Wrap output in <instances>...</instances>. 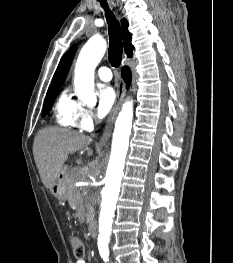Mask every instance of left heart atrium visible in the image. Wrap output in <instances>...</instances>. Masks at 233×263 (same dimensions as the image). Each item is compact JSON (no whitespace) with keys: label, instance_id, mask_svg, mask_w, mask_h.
Wrapping results in <instances>:
<instances>
[{"label":"left heart atrium","instance_id":"39dd6f15","mask_svg":"<svg viewBox=\"0 0 233 263\" xmlns=\"http://www.w3.org/2000/svg\"><path fill=\"white\" fill-rule=\"evenodd\" d=\"M98 98L97 114L102 118L113 109L116 102V94L112 87L101 86L98 91Z\"/></svg>","mask_w":233,"mask_h":263}]
</instances>
